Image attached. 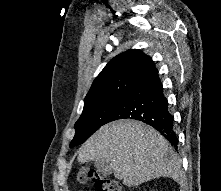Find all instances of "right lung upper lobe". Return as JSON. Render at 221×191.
<instances>
[{"label": "right lung upper lobe", "mask_w": 221, "mask_h": 191, "mask_svg": "<svg viewBox=\"0 0 221 191\" xmlns=\"http://www.w3.org/2000/svg\"><path fill=\"white\" fill-rule=\"evenodd\" d=\"M157 73L151 58L138 49L115 56L94 80L84 107L124 97L132 88Z\"/></svg>", "instance_id": "right-lung-upper-lobe-1"}]
</instances>
